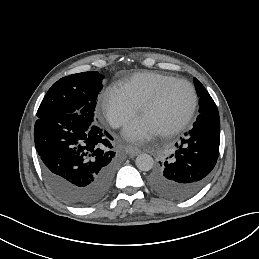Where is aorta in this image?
I'll list each match as a JSON object with an SVG mask.
<instances>
[{
    "instance_id": "1",
    "label": "aorta",
    "mask_w": 259,
    "mask_h": 259,
    "mask_svg": "<svg viewBox=\"0 0 259 259\" xmlns=\"http://www.w3.org/2000/svg\"><path fill=\"white\" fill-rule=\"evenodd\" d=\"M135 164L140 171H149L154 165V160L149 154H140L136 157Z\"/></svg>"
}]
</instances>
